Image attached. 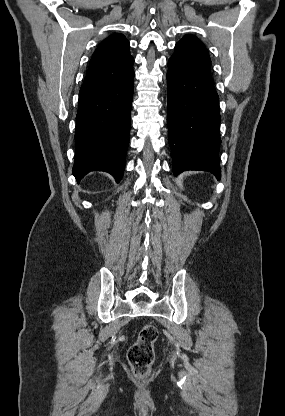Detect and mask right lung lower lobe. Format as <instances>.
Segmentation results:
<instances>
[{
  "instance_id": "obj_1",
  "label": "right lung lower lobe",
  "mask_w": 285,
  "mask_h": 416,
  "mask_svg": "<svg viewBox=\"0 0 285 416\" xmlns=\"http://www.w3.org/2000/svg\"><path fill=\"white\" fill-rule=\"evenodd\" d=\"M134 71L115 84L79 96L73 175L105 171L116 181L123 175L129 143Z\"/></svg>"
}]
</instances>
